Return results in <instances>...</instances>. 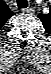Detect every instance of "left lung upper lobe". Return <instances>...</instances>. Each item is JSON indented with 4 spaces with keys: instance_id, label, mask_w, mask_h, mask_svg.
Here are the masks:
<instances>
[{
    "instance_id": "5c2ea615",
    "label": "left lung upper lobe",
    "mask_w": 51,
    "mask_h": 74,
    "mask_svg": "<svg viewBox=\"0 0 51 74\" xmlns=\"http://www.w3.org/2000/svg\"><path fill=\"white\" fill-rule=\"evenodd\" d=\"M38 17H39L42 21H43L44 18H45V16H44L43 14H40Z\"/></svg>"
}]
</instances>
